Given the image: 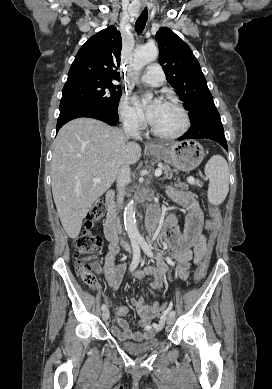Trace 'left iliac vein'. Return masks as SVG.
Segmentation results:
<instances>
[{
	"mask_svg": "<svg viewBox=\"0 0 272 389\" xmlns=\"http://www.w3.org/2000/svg\"><path fill=\"white\" fill-rule=\"evenodd\" d=\"M166 323H167V325H172L173 323H174V317L173 316H171V315H169V316H167L166 317Z\"/></svg>",
	"mask_w": 272,
	"mask_h": 389,
	"instance_id": "4c4485c4",
	"label": "left iliac vein"
}]
</instances>
